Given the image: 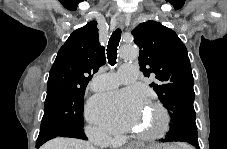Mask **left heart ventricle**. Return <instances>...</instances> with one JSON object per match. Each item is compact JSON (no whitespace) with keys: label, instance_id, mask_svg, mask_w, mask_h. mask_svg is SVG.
Segmentation results:
<instances>
[{"label":"left heart ventricle","instance_id":"1","mask_svg":"<svg viewBox=\"0 0 227 149\" xmlns=\"http://www.w3.org/2000/svg\"><path fill=\"white\" fill-rule=\"evenodd\" d=\"M160 123V116L151 106L143 110L136 122V131L138 133H147L152 131Z\"/></svg>","mask_w":227,"mask_h":149}]
</instances>
